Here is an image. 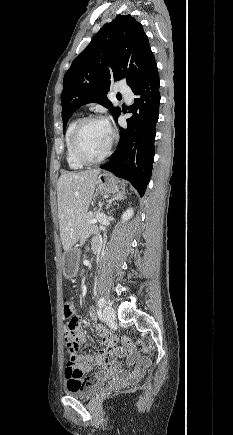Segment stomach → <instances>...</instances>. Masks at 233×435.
Listing matches in <instances>:
<instances>
[{
  "mask_svg": "<svg viewBox=\"0 0 233 435\" xmlns=\"http://www.w3.org/2000/svg\"><path fill=\"white\" fill-rule=\"evenodd\" d=\"M119 185L112 174L101 173L95 181V190L98 194L116 193ZM80 251L77 248H69L62 254V270L66 278L71 279L77 276L79 269Z\"/></svg>",
  "mask_w": 233,
  "mask_h": 435,
  "instance_id": "0dacf381",
  "label": "stomach"
}]
</instances>
